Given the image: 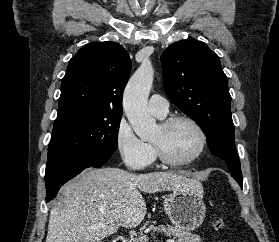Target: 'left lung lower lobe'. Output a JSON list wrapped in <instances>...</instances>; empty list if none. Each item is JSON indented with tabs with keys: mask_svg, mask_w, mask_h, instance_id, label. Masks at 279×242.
Wrapping results in <instances>:
<instances>
[{
	"mask_svg": "<svg viewBox=\"0 0 279 242\" xmlns=\"http://www.w3.org/2000/svg\"><path fill=\"white\" fill-rule=\"evenodd\" d=\"M237 182L240 185V187L242 188L243 187V181H237Z\"/></svg>",
	"mask_w": 279,
	"mask_h": 242,
	"instance_id": "obj_1",
	"label": "left lung lower lobe"
}]
</instances>
